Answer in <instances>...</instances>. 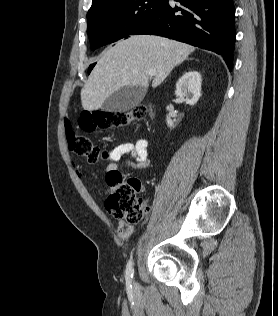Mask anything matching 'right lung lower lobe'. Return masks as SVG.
<instances>
[{
    "label": "right lung lower lobe",
    "mask_w": 278,
    "mask_h": 316,
    "mask_svg": "<svg viewBox=\"0 0 278 316\" xmlns=\"http://www.w3.org/2000/svg\"><path fill=\"white\" fill-rule=\"evenodd\" d=\"M164 0L160 8L131 35L168 37L220 54L233 65L235 9L233 0Z\"/></svg>",
    "instance_id": "1"
}]
</instances>
